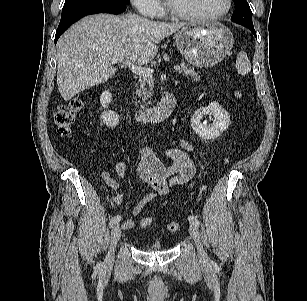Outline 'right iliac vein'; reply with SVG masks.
Here are the masks:
<instances>
[{
	"mask_svg": "<svg viewBox=\"0 0 307 301\" xmlns=\"http://www.w3.org/2000/svg\"><path fill=\"white\" fill-rule=\"evenodd\" d=\"M121 236V228L119 224L113 226L110 235V247L105 258V265L111 267L114 263V249Z\"/></svg>",
	"mask_w": 307,
	"mask_h": 301,
	"instance_id": "right-iliac-vein-1",
	"label": "right iliac vein"
}]
</instances>
